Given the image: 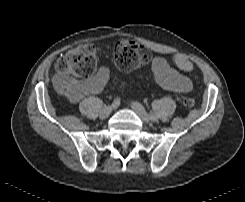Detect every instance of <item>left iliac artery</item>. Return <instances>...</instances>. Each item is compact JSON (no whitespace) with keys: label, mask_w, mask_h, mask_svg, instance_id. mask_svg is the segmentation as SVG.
<instances>
[{"label":"left iliac artery","mask_w":245,"mask_h":202,"mask_svg":"<svg viewBox=\"0 0 245 202\" xmlns=\"http://www.w3.org/2000/svg\"><path fill=\"white\" fill-rule=\"evenodd\" d=\"M149 115H150V118H151V119H154V117H155V116H154V113H150Z\"/></svg>","instance_id":"left-iliac-artery-1"}]
</instances>
